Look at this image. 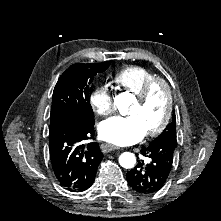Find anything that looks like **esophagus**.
<instances>
[{"label": "esophagus", "instance_id": "34e87169", "mask_svg": "<svg viewBox=\"0 0 221 221\" xmlns=\"http://www.w3.org/2000/svg\"><path fill=\"white\" fill-rule=\"evenodd\" d=\"M100 148H101L102 152H109L112 150H120V147L114 146L109 143L102 144Z\"/></svg>", "mask_w": 221, "mask_h": 221}]
</instances>
